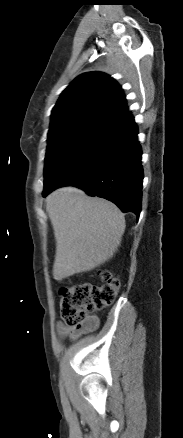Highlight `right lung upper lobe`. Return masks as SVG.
Wrapping results in <instances>:
<instances>
[{"instance_id": "right-lung-upper-lobe-1", "label": "right lung upper lobe", "mask_w": 183, "mask_h": 438, "mask_svg": "<svg viewBox=\"0 0 183 438\" xmlns=\"http://www.w3.org/2000/svg\"><path fill=\"white\" fill-rule=\"evenodd\" d=\"M126 112L125 96L113 78L85 73L62 92L52 110L49 133L78 126L99 128Z\"/></svg>"}]
</instances>
